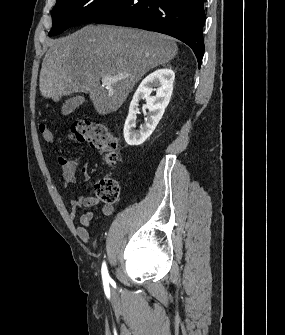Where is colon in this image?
Masks as SVG:
<instances>
[{
	"label": "colon",
	"instance_id": "colon-1",
	"mask_svg": "<svg viewBox=\"0 0 285 335\" xmlns=\"http://www.w3.org/2000/svg\"><path fill=\"white\" fill-rule=\"evenodd\" d=\"M39 131L46 142H53V134L46 124H40ZM69 137L76 143H89L104 156L109 164H114L118 159L119 142L109 128L102 123L85 119L77 120L71 125ZM94 190L98 199L108 205L116 203L120 195V185L111 176L99 179L94 185Z\"/></svg>",
	"mask_w": 285,
	"mask_h": 335
}]
</instances>
